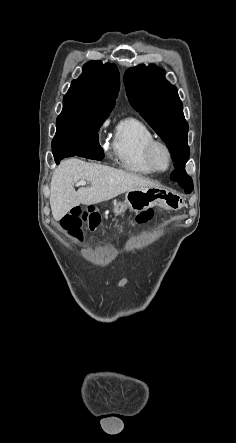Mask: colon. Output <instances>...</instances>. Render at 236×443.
Wrapping results in <instances>:
<instances>
[{
    "mask_svg": "<svg viewBox=\"0 0 236 443\" xmlns=\"http://www.w3.org/2000/svg\"><path fill=\"white\" fill-rule=\"evenodd\" d=\"M153 210H146L138 214L134 220V226H140L150 222L154 218ZM62 225L69 230L71 235L80 238L82 235L81 227L83 224L96 227L100 224V217L95 212L83 209L81 206L72 207L61 219Z\"/></svg>",
    "mask_w": 236,
    "mask_h": 443,
    "instance_id": "colon-1",
    "label": "colon"
}]
</instances>
